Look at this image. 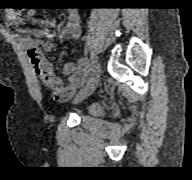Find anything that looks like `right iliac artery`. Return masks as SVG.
<instances>
[{
	"instance_id": "right-iliac-artery-1",
	"label": "right iliac artery",
	"mask_w": 192,
	"mask_h": 180,
	"mask_svg": "<svg viewBox=\"0 0 192 180\" xmlns=\"http://www.w3.org/2000/svg\"><path fill=\"white\" fill-rule=\"evenodd\" d=\"M89 66H90V70H92V72H94V70L98 66L97 59L93 54H91Z\"/></svg>"
}]
</instances>
